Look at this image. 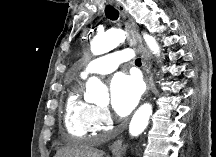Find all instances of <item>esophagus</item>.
I'll return each instance as SVG.
<instances>
[{
  "mask_svg": "<svg viewBox=\"0 0 216 157\" xmlns=\"http://www.w3.org/2000/svg\"><path fill=\"white\" fill-rule=\"evenodd\" d=\"M112 4L118 9V11L120 12L121 16L123 18H126L128 13L125 9V7L118 1H113ZM132 36L133 38H136L138 43H139V49L142 53V60H143V68H144V72H145V77H144V80H145V83H146V89L148 90V75H149V68H148V58H147V54H146V50L145 48L143 47L142 45V41H141V38L139 36V34L136 32V31H132ZM121 145H122V140L121 139H118L116 140L110 147V149L113 151V152H117L120 150L121 148Z\"/></svg>",
  "mask_w": 216,
  "mask_h": 157,
  "instance_id": "obj_1",
  "label": "esophagus"
}]
</instances>
